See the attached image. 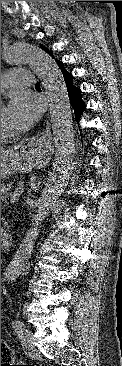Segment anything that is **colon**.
<instances>
[{"label": "colon", "mask_w": 122, "mask_h": 366, "mask_svg": "<svg viewBox=\"0 0 122 366\" xmlns=\"http://www.w3.org/2000/svg\"><path fill=\"white\" fill-rule=\"evenodd\" d=\"M1 356L3 357V361L5 362L11 360L10 351L8 347L2 342H1Z\"/></svg>", "instance_id": "obj_1"}]
</instances>
